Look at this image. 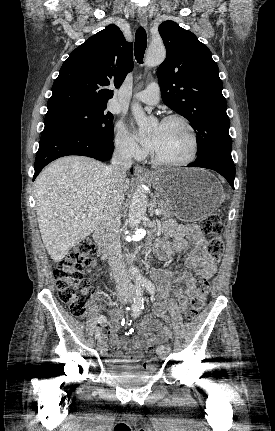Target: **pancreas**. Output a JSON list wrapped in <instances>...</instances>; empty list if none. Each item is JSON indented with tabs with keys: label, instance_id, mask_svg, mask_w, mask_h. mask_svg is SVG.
<instances>
[{
	"label": "pancreas",
	"instance_id": "obj_1",
	"mask_svg": "<svg viewBox=\"0 0 275 431\" xmlns=\"http://www.w3.org/2000/svg\"><path fill=\"white\" fill-rule=\"evenodd\" d=\"M159 208L162 211L161 215L163 218H170L175 216L174 212L169 209L168 204L162 200L159 202Z\"/></svg>",
	"mask_w": 275,
	"mask_h": 431
}]
</instances>
